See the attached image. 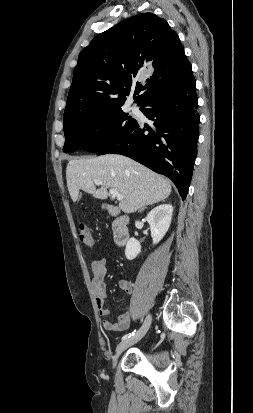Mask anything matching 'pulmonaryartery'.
<instances>
[{
    "instance_id": "e3ab8cb5",
    "label": "pulmonary artery",
    "mask_w": 253,
    "mask_h": 413,
    "mask_svg": "<svg viewBox=\"0 0 253 413\" xmlns=\"http://www.w3.org/2000/svg\"><path fill=\"white\" fill-rule=\"evenodd\" d=\"M131 109H132L133 111H136V110H137V106H136L135 104H133V105L131 106Z\"/></svg>"
}]
</instances>
